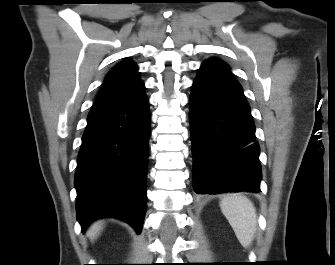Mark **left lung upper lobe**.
Returning <instances> with one entry per match:
<instances>
[{"instance_id": "1", "label": "left lung upper lobe", "mask_w": 335, "mask_h": 265, "mask_svg": "<svg viewBox=\"0 0 335 265\" xmlns=\"http://www.w3.org/2000/svg\"><path fill=\"white\" fill-rule=\"evenodd\" d=\"M202 65H215V66L228 68L227 65H225L222 61L217 60V59H207L203 62Z\"/></svg>"}]
</instances>
